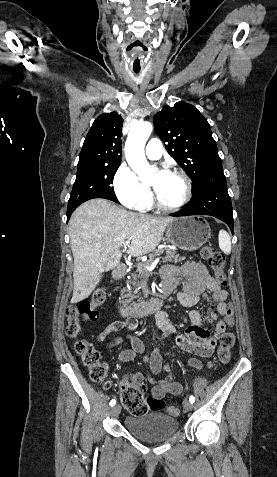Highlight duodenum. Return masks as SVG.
Here are the masks:
<instances>
[{"label": "duodenum", "mask_w": 277, "mask_h": 477, "mask_svg": "<svg viewBox=\"0 0 277 477\" xmlns=\"http://www.w3.org/2000/svg\"><path fill=\"white\" fill-rule=\"evenodd\" d=\"M127 273L128 271L126 267L119 266L114 270V277L116 280L122 281L126 277ZM163 303V298L159 296L152 297L133 308H127L123 306L118 300L114 301L117 311L126 319L141 318L148 314L159 311L162 308Z\"/></svg>", "instance_id": "obj_1"}]
</instances>
